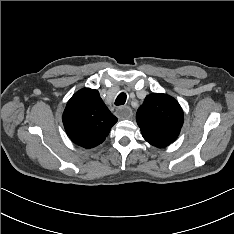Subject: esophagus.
<instances>
[{
	"instance_id": "1",
	"label": "esophagus",
	"mask_w": 234,
	"mask_h": 234,
	"mask_svg": "<svg viewBox=\"0 0 234 234\" xmlns=\"http://www.w3.org/2000/svg\"><path fill=\"white\" fill-rule=\"evenodd\" d=\"M117 114L122 119H129L132 117V109L128 106L119 107L117 109Z\"/></svg>"
}]
</instances>
